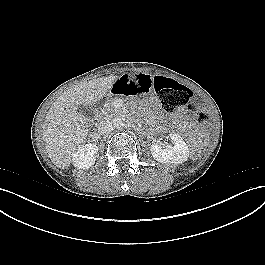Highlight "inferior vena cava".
<instances>
[{
    "label": "inferior vena cava",
    "mask_w": 265,
    "mask_h": 265,
    "mask_svg": "<svg viewBox=\"0 0 265 265\" xmlns=\"http://www.w3.org/2000/svg\"><path fill=\"white\" fill-rule=\"evenodd\" d=\"M113 130L112 122L108 119H103L98 125V131L102 135H110Z\"/></svg>",
    "instance_id": "1"
}]
</instances>
